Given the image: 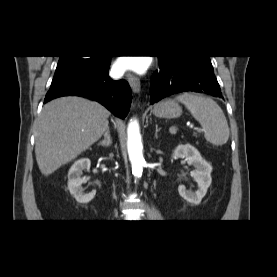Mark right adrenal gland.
Instances as JSON below:
<instances>
[{"mask_svg": "<svg viewBox=\"0 0 277 277\" xmlns=\"http://www.w3.org/2000/svg\"><path fill=\"white\" fill-rule=\"evenodd\" d=\"M112 143L111 135H110V129L109 127L107 128L105 134H104V139L101 140L98 145H101L103 147H108Z\"/></svg>", "mask_w": 277, "mask_h": 277, "instance_id": "right-adrenal-gland-1", "label": "right adrenal gland"}]
</instances>
